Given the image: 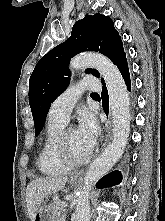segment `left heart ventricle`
I'll return each instance as SVG.
<instances>
[{
    "mask_svg": "<svg viewBox=\"0 0 165 221\" xmlns=\"http://www.w3.org/2000/svg\"><path fill=\"white\" fill-rule=\"evenodd\" d=\"M68 148L71 155L76 158H82L91 149L78 134L77 129H72L67 137Z\"/></svg>",
    "mask_w": 165,
    "mask_h": 221,
    "instance_id": "obj_1",
    "label": "left heart ventricle"
}]
</instances>
